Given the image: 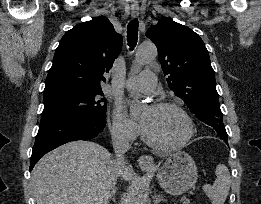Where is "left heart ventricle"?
Returning <instances> with one entry per match:
<instances>
[{"label": "left heart ventricle", "instance_id": "obj_1", "mask_svg": "<svg viewBox=\"0 0 261 204\" xmlns=\"http://www.w3.org/2000/svg\"><path fill=\"white\" fill-rule=\"evenodd\" d=\"M141 124L163 144H175L187 134V123L175 109H154L147 107L140 116Z\"/></svg>", "mask_w": 261, "mask_h": 204}]
</instances>
